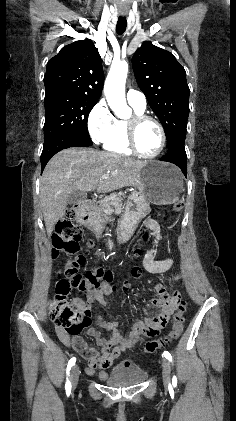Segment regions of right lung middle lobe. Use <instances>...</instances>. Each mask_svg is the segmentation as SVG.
I'll use <instances>...</instances> for the list:
<instances>
[{
  "label": "right lung middle lobe",
  "mask_w": 236,
  "mask_h": 421,
  "mask_svg": "<svg viewBox=\"0 0 236 421\" xmlns=\"http://www.w3.org/2000/svg\"><path fill=\"white\" fill-rule=\"evenodd\" d=\"M97 99L63 91L45 92L44 142L65 134L92 143L87 119Z\"/></svg>",
  "instance_id": "1"
}]
</instances>
